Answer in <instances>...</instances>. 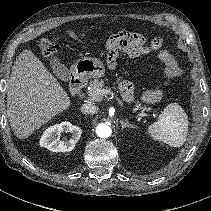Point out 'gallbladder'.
Segmentation results:
<instances>
[{"label": "gallbladder", "mask_w": 211, "mask_h": 211, "mask_svg": "<svg viewBox=\"0 0 211 211\" xmlns=\"http://www.w3.org/2000/svg\"><path fill=\"white\" fill-rule=\"evenodd\" d=\"M50 65L56 76H60L62 73L67 71V68L62 63H60V60L55 56L50 58Z\"/></svg>", "instance_id": "1"}]
</instances>
